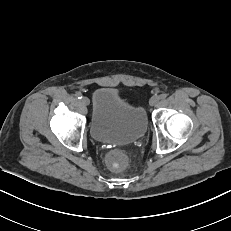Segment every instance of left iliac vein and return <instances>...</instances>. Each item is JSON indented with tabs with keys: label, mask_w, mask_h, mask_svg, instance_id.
I'll return each instance as SVG.
<instances>
[{
	"label": "left iliac vein",
	"mask_w": 231,
	"mask_h": 231,
	"mask_svg": "<svg viewBox=\"0 0 231 231\" xmlns=\"http://www.w3.org/2000/svg\"><path fill=\"white\" fill-rule=\"evenodd\" d=\"M159 100H160L159 96L154 95V96L151 97L149 103H150L151 106H154L159 102Z\"/></svg>",
	"instance_id": "4c4485c4"
}]
</instances>
